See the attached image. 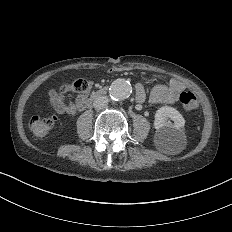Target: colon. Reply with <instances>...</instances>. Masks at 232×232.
I'll list each match as a JSON object with an SVG mask.
<instances>
[{"mask_svg":"<svg viewBox=\"0 0 232 232\" xmlns=\"http://www.w3.org/2000/svg\"><path fill=\"white\" fill-rule=\"evenodd\" d=\"M73 88L77 92H85L89 88V83L85 79H77L73 83ZM194 101V94L190 90L182 92L181 97H178V102H183L182 111L185 114H192L197 107V102ZM26 131H33L34 137H48L53 120H51L50 112H37V116H30L27 120Z\"/></svg>","mask_w":232,"mask_h":232,"instance_id":"1","label":"colon"}]
</instances>
